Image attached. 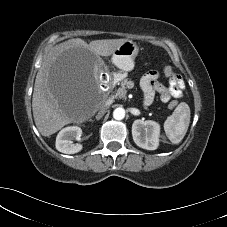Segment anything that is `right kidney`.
I'll return each mask as SVG.
<instances>
[{
    "label": "right kidney",
    "instance_id": "1",
    "mask_svg": "<svg viewBox=\"0 0 227 227\" xmlns=\"http://www.w3.org/2000/svg\"><path fill=\"white\" fill-rule=\"evenodd\" d=\"M82 136V129L78 126L63 128L56 137V149L65 154H75L82 149L79 143H73L74 138Z\"/></svg>",
    "mask_w": 227,
    "mask_h": 227
}]
</instances>
